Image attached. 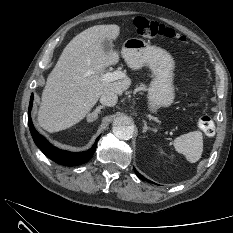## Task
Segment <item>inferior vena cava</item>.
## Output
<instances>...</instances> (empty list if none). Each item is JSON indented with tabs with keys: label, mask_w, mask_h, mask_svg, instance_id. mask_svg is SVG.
Wrapping results in <instances>:
<instances>
[{
	"label": "inferior vena cava",
	"mask_w": 233,
	"mask_h": 233,
	"mask_svg": "<svg viewBox=\"0 0 233 233\" xmlns=\"http://www.w3.org/2000/svg\"><path fill=\"white\" fill-rule=\"evenodd\" d=\"M117 101H118L117 95L114 92H110V91L103 93L100 97V103L109 107L116 105Z\"/></svg>",
	"instance_id": "602c4592"
}]
</instances>
